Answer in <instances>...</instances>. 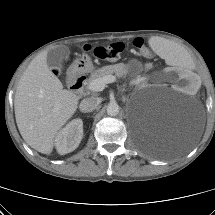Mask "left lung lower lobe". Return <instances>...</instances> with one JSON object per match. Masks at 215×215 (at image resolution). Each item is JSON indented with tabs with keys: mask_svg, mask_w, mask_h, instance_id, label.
Here are the masks:
<instances>
[{
	"mask_svg": "<svg viewBox=\"0 0 215 215\" xmlns=\"http://www.w3.org/2000/svg\"><path fill=\"white\" fill-rule=\"evenodd\" d=\"M164 153L167 154V155H172V154L175 153V150H173V149H167L166 151H164Z\"/></svg>",
	"mask_w": 215,
	"mask_h": 215,
	"instance_id": "0a47b994",
	"label": "left lung lower lobe"
}]
</instances>
